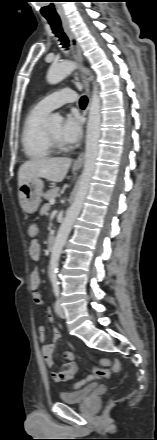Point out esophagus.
<instances>
[{
  "label": "esophagus",
  "instance_id": "esophagus-1",
  "mask_svg": "<svg viewBox=\"0 0 157 440\" xmlns=\"http://www.w3.org/2000/svg\"><path fill=\"white\" fill-rule=\"evenodd\" d=\"M62 22H63L64 28H65V31L67 32V34L70 38L72 55H73L74 59L77 61V63L79 65H82L83 64V55H82V50H81L80 44H79L74 32L72 31L67 19L63 18ZM80 77L82 79L84 88H85L86 93L88 95V98L90 100V86H89L88 79L83 72H80ZM84 157H85V153L81 152L80 155L77 157V159L74 162V167H81L84 162Z\"/></svg>",
  "mask_w": 157,
  "mask_h": 440
}]
</instances>
